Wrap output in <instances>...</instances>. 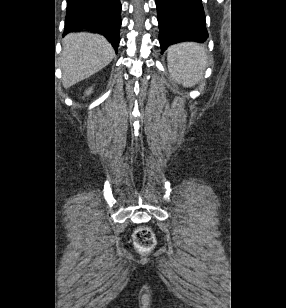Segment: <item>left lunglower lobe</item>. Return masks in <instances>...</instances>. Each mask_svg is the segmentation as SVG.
<instances>
[{
	"label": "left lung lower lobe",
	"mask_w": 286,
	"mask_h": 308,
	"mask_svg": "<svg viewBox=\"0 0 286 308\" xmlns=\"http://www.w3.org/2000/svg\"><path fill=\"white\" fill-rule=\"evenodd\" d=\"M161 53L182 41L208 38L201 0H156Z\"/></svg>",
	"instance_id": "1"
}]
</instances>
